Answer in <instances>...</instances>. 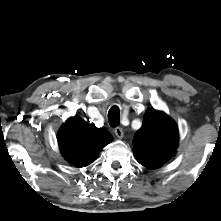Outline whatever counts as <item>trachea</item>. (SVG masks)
Listing matches in <instances>:
<instances>
[{
    "mask_svg": "<svg viewBox=\"0 0 221 221\" xmlns=\"http://www.w3.org/2000/svg\"><path fill=\"white\" fill-rule=\"evenodd\" d=\"M109 124L112 127H116L120 123V112L117 106H113L108 112Z\"/></svg>",
    "mask_w": 221,
    "mask_h": 221,
    "instance_id": "obj_1",
    "label": "trachea"
}]
</instances>
